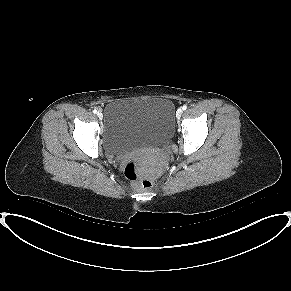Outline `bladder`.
Masks as SVG:
<instances>
[{
    "label": "bladder",
    "mask_w": 291,
    "mask_h": 291,
    "mask_svg": "<svg viewBox=\"0 0 291 291\" xmlns=\"http://www.w3.org/2000/svg\"><path fill=\"white\" fill-rule=\"evenodd\" d=\"M102 121L106 151L123 154L170 140L174 105L163 97L113 101L105 107Z\"/></svg>",
    "instance_id": "bladder-1"
}]
</instances>
